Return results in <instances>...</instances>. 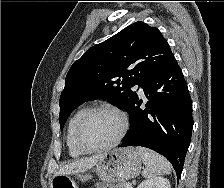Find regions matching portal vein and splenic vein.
<instances>
[{"instance_id":"portal-vein-and-splenic-vein-1","label":"portal vein and splenic vein","mask_w":224,"mask_h":188,"mask_svg":"<svg viewBox=\"0 0 224 188\" xmlns=\"http://www.w3.org/2000/svg\"><path fill=\"white\" fill-rule=\"evenodd\" d=\"M126 188H133L131 183L126 184Z\"/></svg>"}]
</instances>
